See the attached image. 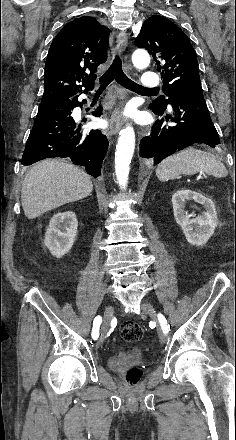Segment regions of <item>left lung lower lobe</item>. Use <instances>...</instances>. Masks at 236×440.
<instances>
[{
    "label": "left lung lower lobe",
    "instance_id": "1",
    "mask_svg": "<svg viewBox=\"0 0 236 440\" xmlns=\"http://www.w3.org/2000/svg\"><path fill=\"white\" fill-rule=\"evenodd\" d=\"M172 114L153 110L160 116L140 143V156L160 163L169 155L194 144L215 147L219 135L211 120L201 88L181 92L170 101Z\"/></svg>",
    "mask_w": 236,
    "mask_h": 440
}]
</instances>
